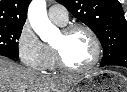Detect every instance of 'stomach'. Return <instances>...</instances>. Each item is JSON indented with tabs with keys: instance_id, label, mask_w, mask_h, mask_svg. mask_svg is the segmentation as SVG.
Segmentation results:
<instances>
[{
	"instance_id": "obj_1",
	"label": "stomach",
	"mask_w": 127,
	"mask_h": 92,
	"mask_svg": "<svg viewBox=\"0 0 127 92\" xmlns=\"http://www.w3.org/2000/svg\"><path fill=\"white\" fill-rule=\"evenodd\" d=\"M70 92H127V78L109 70L91 71L80 77Z\"/></svg>"
}]
</instances>
